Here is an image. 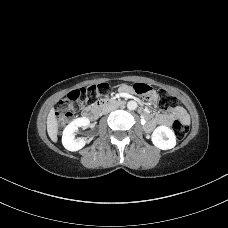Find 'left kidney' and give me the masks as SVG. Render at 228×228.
<instances>
[{
	"mask_svg": "<svg viewBox=\"0 0 228 228\" xmlns=\"http://www.w3.org/2000/svg\"><path fill=\"white\" fill-rule=\"evenodd\" d=\"M151 140L161 150L172 149L176 146V136L173 130L166 126H158L153 131Z\"/></svg>",
	"mask_w": 228,
	"mask_h": 228,
	"instance_id": "5707ae66",
	"label": "left kidney"
}]
</instances>
